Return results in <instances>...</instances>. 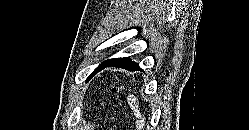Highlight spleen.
<instances>
[{"label": "spleen", "mask_w": 249, "mask_h": 130, "mask_svg": "<svg viewBox=\"0 0 249 130\" xmlns=\"http://www.w3.org/2000/svg\"><path fill=\"white\" fill-rule=\"evenodd\" d=\"M128 102L134 112V115L136 116V118H138V120L136 121V128L137 130H142L145 127V117L141 114L140 110L138 109L139 105L137 98L134 95H130L128 97Z\"/></svg>", "instance_id": "obj_1"}]
</instances>
